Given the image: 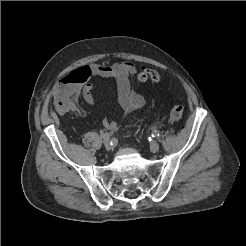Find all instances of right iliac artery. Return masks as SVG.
<instances>
[{"label":"right iliac artery","mask_w":246,"mask_h":246,"mask_svg":"<svg viewBox=\"0 0 246 246\" xmlns=\"http://www.w3.org/2000/svg\"><path fill=\"white\" fill-rule=\"evenodd\" d=\"M102 137L104 138V139H109V137H110V134L109 133H103L102 134ZM111 144H112V142H111Z\"/></svg>","instance_id":"obj_1"}]
</instances>
